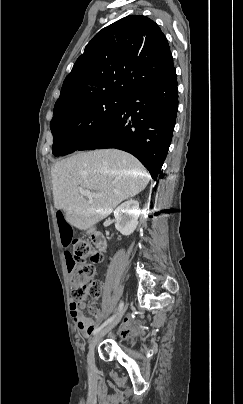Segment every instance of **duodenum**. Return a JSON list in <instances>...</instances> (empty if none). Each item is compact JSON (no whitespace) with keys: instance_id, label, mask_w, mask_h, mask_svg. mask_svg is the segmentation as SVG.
I'll list each match as a JSON object with an SVG mask.
<instances>
[{"instance_id":"duodenum-1","label":"duodenum","mask_w":243,"mask_h":404,"mask_svg":"<svg viewBox=\"0 0 243 404\" xmlns=\"http://www.w3.org/2000/svg\"><path fill=\"white\" fill-rule=\"evenodd\" d=\"M90 234L92 241L97 245V247L104 250L106 245L104 236L96 230H92Z\"/></svg>"}]
</instances>
